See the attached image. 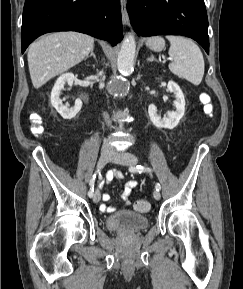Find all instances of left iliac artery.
<instances>
[{"label": "left iliac artery", "instance_id": "obj_1", "mask_svg": "<svg viewBox=\"0 0 243 289\" xmlns=\"http://www.w3.org/2000/svg\"><path fill=\"white\" fill-rule=\"evenodd\" d=\"M130 170H131V171H135V172H139V173L145 172V171H148V172H151V171H152L150 168H148V167H146V166H141V165H137L136 167H131ZM155 189H156L157 191H160L161 185H160L159 183H156Z\"/></svg>", "mask_w": 243, "mask_h": 289}]
</instances>
